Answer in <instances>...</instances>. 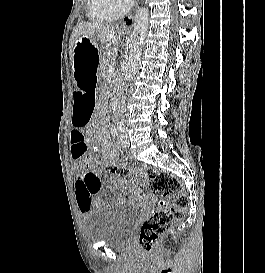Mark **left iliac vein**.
I'll use <instances>...</instances> for the list:
<instances>
[{
	"instance_id": "obj_1",
	"label": "left iliac vein",
	"mask_w": 265,
	"mask_h": 273,
	"mask_svg": "<svg viewBox=\"0 0 265 273\" xmlns=\"http://www.w3.org/2000/svg\"><path fill=\"white\" fill-rule=\"evenodd\" d=\"M120 142H121V145L124 147V148H128L129 145H130V142H129V136L126 132H123L120 136Z\"/></svg>"
}]
</instances>
